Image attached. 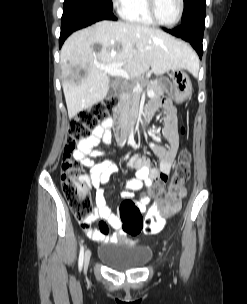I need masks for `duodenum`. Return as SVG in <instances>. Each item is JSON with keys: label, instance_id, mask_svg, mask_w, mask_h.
I'll return each mask as SVG.
<instances>
[{"label": "duodenum", "instance_id": "duodenum-1", "mask_svg": "<svg viewBox=\"0 0 247 304\" xmlns=\"http://www.w3.org/2000/svg\"><path fill=\"white\" fill-rule=\"evenodd\" d=\"M123 115V106L119 105L116 109V115L114 116L113 121V133L116 136V144L123 145L126 141V137L129 134V131L127 129H130V126H136L139 123H147L150 121L153 112L147 109L144 113L139 114L137 116H129V119H132L131 123H127V126H124L121 124V119ZM127 122V121H126ZM130 122V121H129ZM141 125V124H140ZM132 128V127H131ZM137 128V127H136ZM139 129H144V126H139Z\"/></svg>", "mask_w": 247, "mask_h": 304}]
</instances>
